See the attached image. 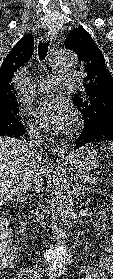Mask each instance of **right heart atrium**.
I'll list each match as a JSON object with an SVG mask.
<instances>
[{"instance_id": "d8ad5b80", "label": "right heart atrium", "mask_w": 113, "mask_h": 279, "mask_svg": "<svg viewBox=\"0 0 113 279\" xmlns=\"http://www.w3.org/2000/svg\"><path fill=\"white\" fill-rule=\"evenodd\" d=\"M24 116L26 119L28 131L31 134H37L40 131V129H39L38 125L36 124V122L29 116L28 113H26Z\"/></svg>"}]
</instances>
